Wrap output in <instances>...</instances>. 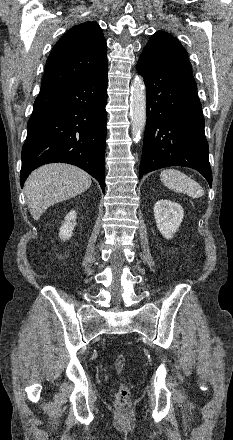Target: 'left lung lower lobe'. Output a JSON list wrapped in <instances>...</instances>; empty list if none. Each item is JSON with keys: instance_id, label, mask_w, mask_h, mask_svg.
Returning <instances> with one entry per match:
<instances>
[{"instance_id": "left-lung-lower-lobe-1", "label": "left lung lower lobe", "mask_w": 233, "mask_h": 440, "mask_svg": "<svg viewBox=\"0 0 233 440\" xmlns=\"http://www.w3.org/2000/svg\"><path fill=\"white\" fill-rule=\"evenodd\" d=\"M137 71L144 78L147 96L139 179L150 171L179 165L199 171L211 187L205 121L192 73L143 55Z\"/></svg>"}]
</instances>
